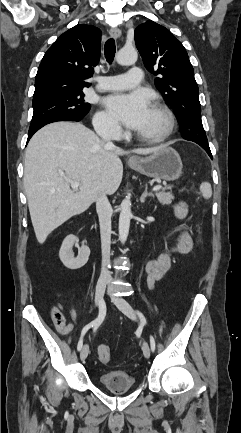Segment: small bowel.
<instances>
[{
	"label": "small bowel",
	"instance_id": "c3829d8e",
	"mask_svg": "<svg viewBox=\"0 0 241 433\" xmlns=\"http://www.w3.org/2000/svg\"><path fill=\"white\" fill-rule=\"evenodd\" d=\"M175 216L182 222L187 218L188 208L185 202H179L174 208ZM193 241L190 233L186 228H183L177 240L174 252L178 254H187L192 250ZM171 266V252H165L160 254L156 259L151 260L147 265L148 273V284L153 287L156 282H158L169 270ZM69 313L71 321L66 322L62 312L58 307L54 306L51 308V318L54 322L57 331L63 335L70 334L77 320V314L74 308H69Z\"/></svg>",
	"mask_w": 241,
	"mask_h": 433
}]
</instances>
